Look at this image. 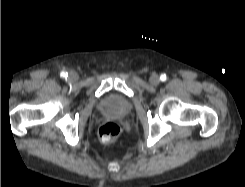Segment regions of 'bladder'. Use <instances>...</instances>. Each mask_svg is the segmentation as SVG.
<instances>
[{
    "mask_svg": "<svg viewBox=\"0 0 245 187\" xmlns=\"http://www.w3.org/2000/svg\"><path fill=\"white\" fill-rule=\"evenodd\" d=\"M131 109L130 99L122 95H108L98 103V110L105 115L125 116Z\"/></svg>",
    "mask_w": 245,
    "mask_h": 187,
    "instance_id": "obj_1",
    "label": "bladder"
}]
</instances>
